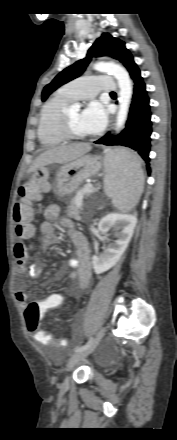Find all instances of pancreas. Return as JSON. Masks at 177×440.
<instances>
[{
	"instance_id": "cf45deb5",
	"label": "pancreas",
	"mask_w": 177,
	"mask_h": 440,
	"mask_svg": "<svg viewBox=\"0 0 177 440\" xmlns=\"http://www.w3.org/2000/svg\"><path fill=\"white\" fill-rule=\"evenodd\" d=\"M88 185H85L84 188L80 189L76 196L72 199L70 205L67 207L66 214L68 217L80 220L81 219V211L83 210V199L89 196V193L86 192V188Z\"/></svg>"
}]
</instances>
